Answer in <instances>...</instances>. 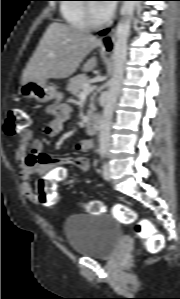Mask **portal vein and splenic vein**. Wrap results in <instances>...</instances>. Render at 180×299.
I'll list each match as a JSON object with an SVG mask.
<instances>
[{
	"mask_svg": "<svg viewBox=\"0 0 180 299\" xmlns=\"http://www.w3.org/2000/svg\"><path fill=\"white\" fill-rule=\"evenodd\" d=\"M94 90V87L90 84H84L83 90L79 93V97H86Z\"/></svg>",
	"mask_w": 180,
	"mask_h": 299,
	"instance_id": "1",
	"label": "portal vein and splenic vein"
}]
</instances>
